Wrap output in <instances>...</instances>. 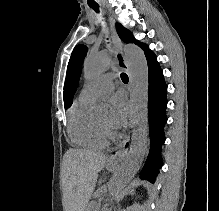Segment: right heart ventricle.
Segmentation results:
<instances>
[{
	"instance_id": "obj_1",
	"label": "right heart ventricle",
	"mask_w": 219,
	"mask_h": 211,
	"mask_svg": "<svg viewBox=\"0 0 219 211\" xmlns=\"http://www.w3.org/2000/svg\"><path fill=\"white\" fill-rule=\"evenodd\" d=\"M92 102L78 99L69 111L68 133L73 142L89 149H102L107 145L105 133L90 114Z\"/></svg>"
}]
</instances>
